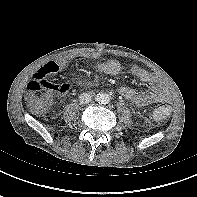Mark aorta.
Masks as SVG:
<instances>
[{
    "label": "aorta",
    "mask_w": 197,
    "mask_h": 197,
    "mask_svg": "<svg viewBox=\"0 0 197 197\" xmlns=\"http://www.w3.org/2000/svg\"><path fill=\"white\" fill-rule=\"evenodd\" d=\"M96 100L98 101V103L100 104H108L111 100V96L107 93H99L97 95Z\"/></svg>",
    "instance_id": "aorta-1"
}]
</instances>
